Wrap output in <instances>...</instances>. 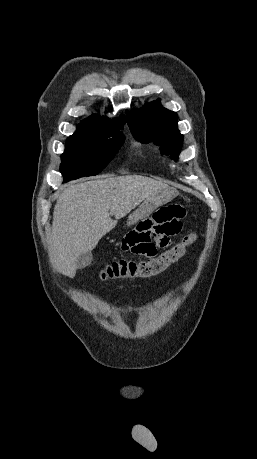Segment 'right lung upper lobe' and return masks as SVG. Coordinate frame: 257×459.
Wrapping results in <instances>:
<instances>
[{"mask_svg":"<svg viewBox=\"0 0 257 459\" xmlns=\"http://www.w3.org/2000/svg\"><path fill=\"white\" fill-rule=\"evenodd\" d=\"M125 124V116L121 115L120 118H116L114 121L99 115H93L88 119L81 122L78 127L84 128L94 132H110L116 130H122Z\"/></svg>","mask_w":257,"mask_h":459,"instance_id":"cb5924a9","label":"right lung upper lobe"}]
</instances>
